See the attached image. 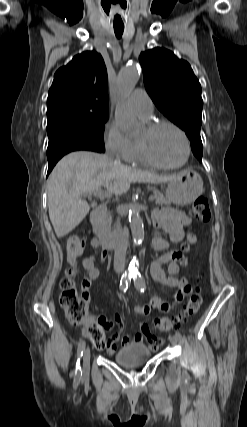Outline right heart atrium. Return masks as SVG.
<instances>
[{
  "label": "right heart atrium",
  "instance_id": "right-heart-atrium-1",
  "mask_svg": "<svg viewBox=\"0 0 247 427\" xmlns=\"http://www.w3.org/2000/svg\"><path fill=\"white\" fill-rule=\"evenodd\" d=\"M102 139L107 153L113 158L129 161L132 151V142L120 127L113 121L106 122L103 128Z\"/></svg>",
  "mask_w": 247,
  "mask_h": 427
}]
</instances>
